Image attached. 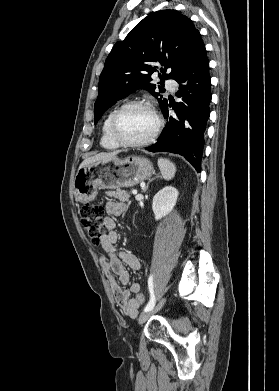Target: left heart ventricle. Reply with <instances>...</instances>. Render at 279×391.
I'll return each mask as SVG.
<instances>
[{
  "instance_id": "b2bd125f",
  "label": "left heart ventricle",
  "mask_w": 279,
  "mask_h": 391,
  "mask_svg": "<svg viewBox=\"0 0 279 391\" xmlns=\"http://www.w3.org/2000/svg\"><path fill=\"white\" fill-rule=\"evenodd\" d=\"M156 121L150 110L145 107H129L119 116L118 134L127 141H141L153 132Z\"/></svg>"
}]
</instances>
